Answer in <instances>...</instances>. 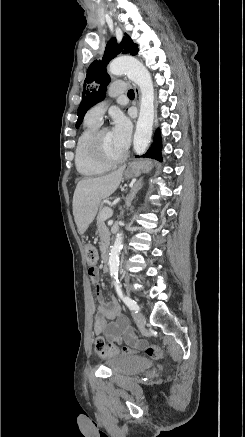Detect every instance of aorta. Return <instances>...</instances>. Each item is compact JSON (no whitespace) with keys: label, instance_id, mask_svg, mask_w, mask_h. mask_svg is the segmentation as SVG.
I'll use <instances>...</instances> for the list:
<instances>
[{"label":"aorta","instance_id":"obj_1","mask_svg":"<svg viewBox=\"0 0 245 437\" xmlns=\"http://www.w3.org/2000/svg\"><path fill=\"white\" fill-rule=\"evenodd\" d=\"M109 73L126 75L136 83L141 91L139 117L134 134L133 147L136 154L145 153L151 140L154 122V86L151 75L145 66L131 56L119 57L112 61ZM123 232H118L109 253V271L113 278L118 276L119 253L123 247Z\"/></svg>","mask_w":245,"mask_h":437}]
</instances>
